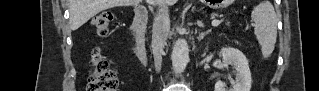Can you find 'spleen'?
<instances>
[{
  "label": "spleen",
  "mask_w": 319,
  "mask_h": 91,
  "mask_svg": "<svg viewBox=\"0 0 319 91\" xmlns=\"http://www.w3.org/2000/svg\"><path fill=\"white\" fill-rule=\"evenodd\" d=\"M251 18L254 21V33L261 46L263 58H268L272 54L277 38V16L273 5L265 1L257 5Z\"/></svg>",
  "instance_id": "spleen-1"
}]
</instances>
